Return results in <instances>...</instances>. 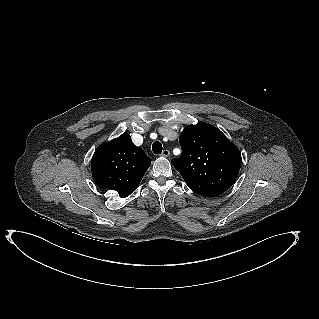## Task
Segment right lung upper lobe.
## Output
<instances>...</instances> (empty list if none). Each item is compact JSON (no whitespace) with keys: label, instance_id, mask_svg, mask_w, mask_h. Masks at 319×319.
Returning <instances> with one entry per match:
<instances>
[{"label":"right lung upper lobe","instance_id":"cb5924a9","mask_svg":"<svg viewBox=\"0 0 319 319\" xmlns=\"http://www.w3.org/2000/svg\"><path fill=\"white\" fill-rule=\"evenodd\" d=\"M151 159L142 148L135 146L129 134L100 145L92 158V175L102 189L129 196L139 185Z\"/></svg>","mask_w":319,"mask_h":319}]
</instances>
